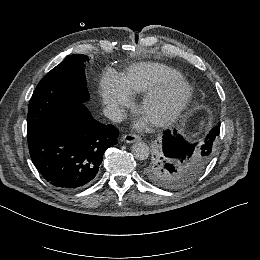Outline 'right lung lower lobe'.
Returning <instances> with one entry per match:
<instances>
[{
    "label": "right lung lower lobe",
    "instance_id": "right-lung-lower-lobe-1",
    "mask_svg": "<svg viewBox=\"0 0 260 260\" xmlns=\"http://www.w3.org/2000/svg\"><path fill=\"white\" fill-rule=\"evenodd\" d=\"M118 129L96 121L84 104L28 134L33 163L52 186L79 190L90 185Z\"/></svg>",
    "mask_w": 260,
    "mask_h": 260
}]
</instances>
